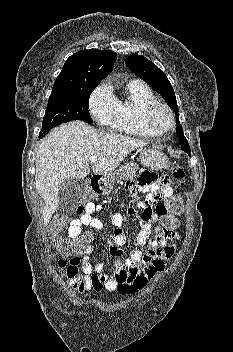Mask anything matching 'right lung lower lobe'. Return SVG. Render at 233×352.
Returning <instances> with one entry per match:
<instances>
[{
    "mask_svg": "<svg viewBox=\"0 0 233 352\" xmlns=\"http://www.w3.org/2000/svg\"><path fill=\"white\" fill-rule=\"evenodd\" d=\"M49 131L39 133V138H43Z\"/></svg>",
    "mask_w": 233,
    "mask_h": 352,
    "instance_id": "right-lung-lower-lobe-1",
    "label": "right lung lower lobe"
}]
</instances>
